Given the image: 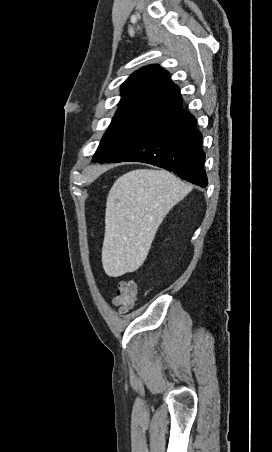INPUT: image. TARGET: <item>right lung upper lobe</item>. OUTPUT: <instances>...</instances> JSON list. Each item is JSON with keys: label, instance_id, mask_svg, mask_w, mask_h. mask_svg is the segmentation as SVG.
I'll return each instance as SVG.
<instances>
[{"label": "right lung upper lobe", "instance_id": "cb5924a9", "mask_svg": "<svg viewBox=\"0 0 272 452\" xmlns=\"http://www.w3.org/2000/svg\"><path fill=\"white\" fill-rule=\"evenodd\" d=\"M122 98L115 115L126 113L169 114L182 110L179 88L168 72L149 65L134 72L121 86Z\"/></svg>", "mask_w": 272, "mask_h": 452}]
</instances>
